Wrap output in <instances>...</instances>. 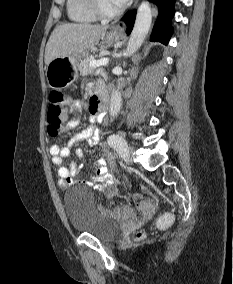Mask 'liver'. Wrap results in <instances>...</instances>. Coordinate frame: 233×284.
<instances>
[{
  "instance_id": "obj_1",
  "label": "liver",
  "mask_w": 233,
  "mask_h": 284,
  "mask_svg": "<svg viewBox=\"0 0 233 284\" xmlns=\"http://www.w3.org/2000/svg\"><path fill=\"white\" fill-rule=\"evenodd\" d=\"M107 26L65 23L54 29L45 49V64L53 59L92 49L105 34Z\"/></svg>"
}]
</instances>
